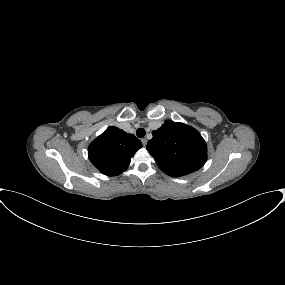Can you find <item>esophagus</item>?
Returning <instances> with one entry per match:
<instances>
[{
    "label": "esophagus",
    "instance_id": "esophagus-1",
    "mask_svg": "<svg viewBox=\"0 0 285 285\" xmlns=\"http://www.w3.org/2000/svg\"><path fill=\"white\" fill-rule=\"evenodd\" d=\"M141 142H142L143 146L145 147L146 144H147V139H146V138H142V139H141Z\"/></svg>",
    "mask_w": 285,
    "mask_h": 285
}]
</instances>
